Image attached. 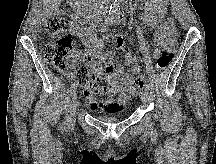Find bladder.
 I'll list each match as a JSON object with an SVG mask.
<instances>
[{"label":"bladder","mask_w":216,"mask_h":164,"mask_svg":"<svg viewBox=\"0 0 216 164\" xmlns=\"http://www.w3.org/2000/svg\"><path fill=\"white\" fill-rule=\"evenodd\" d=\"M101 119L103 121H106V122H115V121H118V118H116V117H102Z\"/></svg>","instance_id":"obj_1"}]
</instances>
